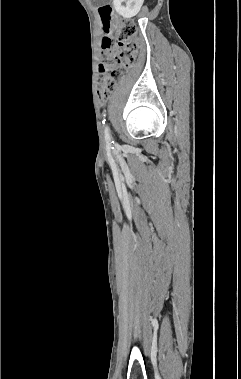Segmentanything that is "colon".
Returning a JSON list of instances; mask_svg holds the SVG:
<instances>
[{"label":"colon","instance_id":"1","mask_svg":"<svg viewBox=\"0 0 241 379\" xmlns=\"http://www.w3.org/2000/svg\"><path fill=\"white\" fill-rule=\"evenodd\" d=\"M106 35L102 41L103 61L99 65V94L106 98L124 77L135 61L137 52V27L132 23L115 20L110 4L99 7Z\"/></svg>","mask_w":241,"mask_h":379}]
</instances>
